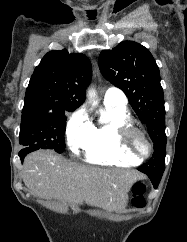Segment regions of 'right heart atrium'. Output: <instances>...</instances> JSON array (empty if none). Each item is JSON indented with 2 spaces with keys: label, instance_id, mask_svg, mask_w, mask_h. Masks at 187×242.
<instances>
[{
  "label": "right heart atrium",
  "instance_id": "right-heart-atrium-1",
  "mask_svg": "<svg viewBox=\"0 0 187 242\" xmlns=\"http://www.w3.org/2000/svg\"><path fill=\"white\" fill-rule=\"evenodd\" d=\"M92 125L86 113L79 109L69 119L66 127V139L70 150L79 153L91 138Z\"/></svg>",
  "mask_w": 187,
  "mask_h": 242
}]
</instances>
